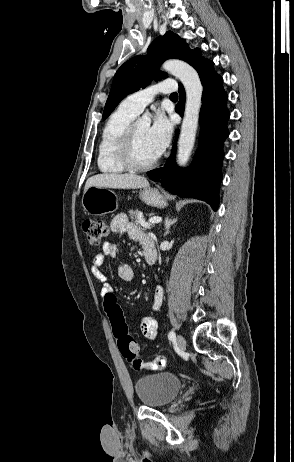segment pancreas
I'll return each mask as SVG.
<instances>
[{
  "mask_svg": "<svg viewBox=\"0 0 294 462\" xmlns=\"http://www.w3.org/2000/svg\"><path fill=\"white\" fill-rule=\"evenodd\" d=\"M129 215L131 220L137 225L142 226L143 228H151L152 225H147L143 213L139 210H130Z\"/></svg>",
  "mask_w": 294,
  "mask_h": 462,
  "instance_id": "pancreas-1",
  "label": "pancreas"
}]
</instances>
